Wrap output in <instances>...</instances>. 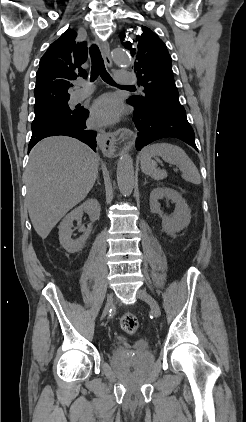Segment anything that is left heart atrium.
Wrapping results in <instances>:
<instances>
[{"instance_id": "left-heart-atrium-1", "label": "left heart atrium", "mask_w": 246, "mask_h": 422, "mask_svg": "<svg viewBox=\"0 0 246 422\" xmlns=\"http://www.w3.org/2000/svg\"><path fill=\"white\" fill-rule=\"evenodd\" d=\"M121 106L116 97L110 94L99 97L91 109L92 121L96 125L111 124L118 120Z\"/></svg>"}]
</instances>
